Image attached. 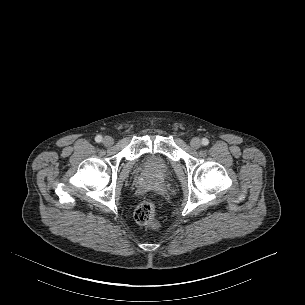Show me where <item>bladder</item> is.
Instances as JSON below:
<instances>
[{
  "label": "bladder",
  "mask_w": 305,
  "mask_h": 305,
  "mask_svg": "<svg viewBox=\"0 0 305 305\" xmlns=\"http://www.w3.org/2000/svg\"><path fill=\"white\" fill-rule=\"evenodd\" d=\"M145 171L156 178H165L170 173V166L164 161H151L146 164Z\"/></svg>",
  "instance_id": "bladder-1"
}]
</instances>
